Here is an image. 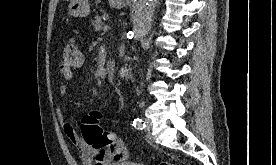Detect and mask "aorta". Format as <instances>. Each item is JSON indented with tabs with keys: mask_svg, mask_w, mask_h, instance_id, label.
<instances>
[{
	"mask_svg": "<svg viewBox=\"0 0 276 165\" xmlns=\"http://www.w3.org/2000/svg\"><path fill=\"white\" fill-rule=\"evenodd\" d=\"M135 10V32L146 36L152 28L153 16L158 0H133Z\"/></svg>",
	"mask_w": 276,
	"mask_h": 165,
	"instance_id": "aorta-1",
	"label": "aorta"
}]
</instances>
